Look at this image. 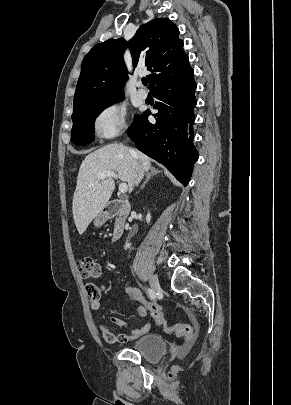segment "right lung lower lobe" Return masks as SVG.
I'll list each match as a JSON object with an SVG mask.
<instances>
[{"mask_svg":"<svg viewBox=\"0 0 291 405\" xmlns=\"http://www.w3.org/2000/svg\"><path fill=\"white\" fill-rule=\"evenodd\" d=\"M196 83L193 70L164 81L152 90L159 101L154 108L155 123H150L146 111L128 131L136 147L163 164L178 181L187 185L190 181L198 152L193 144V123Z\"/></svg>","mask_w":291,"mask_h":405,"instance_id":"98d812e1","label":"right lung lower lobe"}]
</instances>
